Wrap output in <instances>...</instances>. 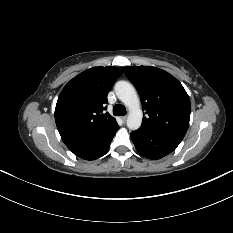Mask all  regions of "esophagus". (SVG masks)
Listing matches in <instances>:
<instances>
[{"instance_id":"obj_1","label":"esophagus","mask_w":233,"mask_h":233,"mask_svg":"<svg viewBox=\"0 0 233 233\" xmlns=\"http://www.w3.org/2000/svg\"><path fill=\"white\" fill-rule=\"evenodd\" d=\"M126 119H127V116H123V117H122V120H123V121H126Z\"/></svg>"}]
</instances>
